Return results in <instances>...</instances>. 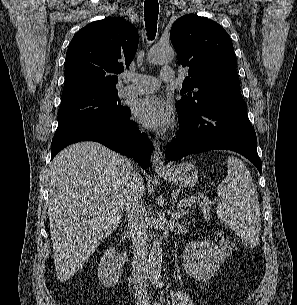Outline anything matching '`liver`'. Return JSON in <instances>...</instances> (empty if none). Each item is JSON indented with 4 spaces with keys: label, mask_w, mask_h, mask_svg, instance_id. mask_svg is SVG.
I'll use <instances>...</instances> for the list:
<instances>
[{
    "label": "liver",
    "mask_w": 297,
    "mask_h": 305,
    "mask_svg": "<svg viewBox=\"0 0 297 305\" xmlns=\"http://www.w3.org/2000/svg\"><path fill=\"white\" fill-rule=\"evenodd\" d=\"M130 161L96 142H79L49 164L48 217L57 278L69 280L119 225ZM143 195L145 186L139 181Z\"/></svg>",
    "instance_id": "obj_1"
}]
</instances>
